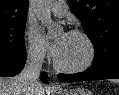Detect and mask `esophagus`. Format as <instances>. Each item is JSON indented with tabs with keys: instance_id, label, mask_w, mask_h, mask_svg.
Returning a JSON list of instances; mask_svg holds the SVG:
<instances>
[{
	"instance_id": "obj_1",
	"label": "esophagus",
	"mask_w": 119,
	"mask_h": 95,
	"mask_svg": "<svg viewBox=\"0 0 119 95\" xmlns=\"http://www.w3.org/2000/svg\"><path fill=\"white\" fill-rule=\"evenodd\" d=\"M50 87L56 89V88H58V84L52 81V82H50Z\"/></svg>"
}]
</instances>
